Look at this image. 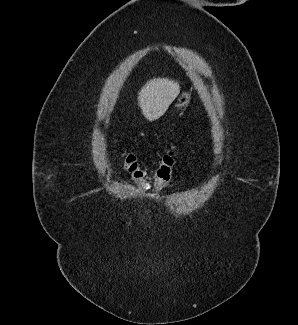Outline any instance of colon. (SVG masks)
I'll use <instances>...</instances> for the list:
<instances>
[{
    "label": "colon",
    "instance_id": "colon-1",
    "mask_svg": "<svg viewBox=\"0 0 298 325\" xmlns=\"http://www.w3.org/2000/svg\"><path fill=\"white\" fill-rule=\"evenodd\" d=\"M121 155L124 169L134 182L135 186L142 192L152 189L147 174L138 163L136 157L129 152H122ZM175 157L176 155L174 150L168 151L161 157L154 174L153 188L155 190H162L169 184L175 165Z\"/></svg>",
    "mask_w": 298,
    "mask_h": 325
}]
</instances>
